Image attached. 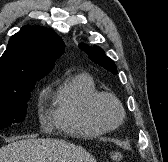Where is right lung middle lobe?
Here are the masks:
<instances>
[{
  "instance_id": "right-lung-middle-lobe-1",
  "label": "right lung middle lobe",
  "mask_w": 168,
  "mask_h": 162,
  "mask_svg": "<svg viewBox=\"0 0 168 162\" xmlns=\"http://www.w3.org/2000/svg\"><path fill=\"white\" fill-rule=\"evenodd\" d=\"M36 81H22L14 87L0 89V129L24 121L30 91Z\"/></svg>"
}]
</instances>
